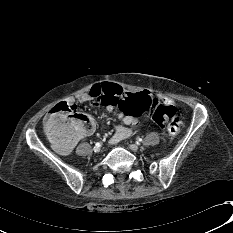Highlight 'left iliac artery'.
Here are the masks:
<instances>
[{"label":"left iliac artery","mask_w":233,"mask_h":233,"mask_svg":"<svg viewBox=\"0 0 233 233\" xmlns=\"http://www.w3.org/2000/svg\"><path fill=\"white\" fill-rule=\"evenodd\" d=\"M136 142L137 144H139L140 142H142V138H138Z\"/></svg>","instance_id":"44dca946"}]
</instances>
